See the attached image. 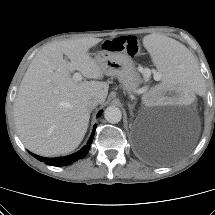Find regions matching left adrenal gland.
Masks as SVG:
<instances>
[{"instance_id":"a2214340","label":"left adrenal gland","mask_w":215,"mask_h":215,"mask_svg":"<svg viewBox=\"0 0 215 215\" xmlns=\"http://www.w3.org/2000/svg\"><path fill=\"white\" fill-rule=\"evenodd\" d=\"M128 107H129L130 112L132 113V110L134 108V104H128Z\"/></svg>"}]
</instances>
